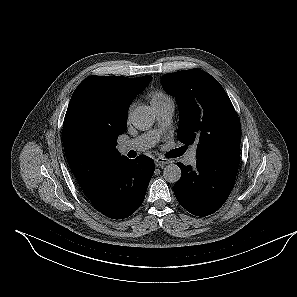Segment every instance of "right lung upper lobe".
I'll return each mask as SVG.
<instances>
[{
  "mask_svg": "<svg viewBox=\"0 0 297 297\" xmlns=\"http://www.w3.org/2000/svg\"><path fill=\"white\" fill-rule=\"evenodd\" d=\"M152 80L89 76L75 89L63 123L69 166L86 197L94 193L111 164L119 159L117 138L127 128L133 99Z\"/></svg>",
  "mask_w": 297,
  "mask_h": 297,
  "instance_id": "cb5924a9",
  "label": "right lung upper lobe"
}]
</instances>
